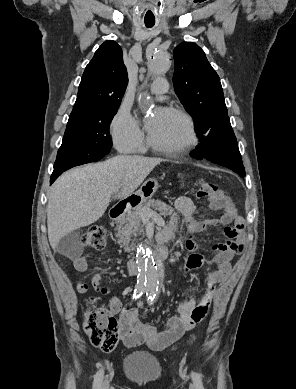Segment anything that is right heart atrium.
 Listing matches in <instances>:
<instances>
[{"instance_id": "obj_1", "label": "right heart atrium", "mask_w": 296, "mask_h": 389, "mask_svg": "<svg viewBox=\"0 0 296 389\" xmlns=\"http://www.w3.org/2000/svg\"><path fill=\"white\" fill-rule=\"evenodd\" d=\"M114 146L123 153L139 151L143 147V132L139 121L126 106H121L111 122Z\"/></svg>"}]
</instances>
